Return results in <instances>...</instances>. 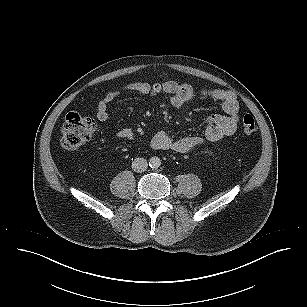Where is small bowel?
Wrapping results in <instances>:
<instances>
[{
    "mask_svg": "<svg viewBox=\"0 0 307 307\" xmlns=\"http://www.w3.org/2000/svg\"><path fill=\"white\" fill-rule=\"evenodd\" d=\"M125 93L156 97L164 95L174 108H182L195 97L217 101L224 114H213L207 118L204 137L185 136L173 138L164 131L157 132L151 140V146L157 150H170L187 153L203 144L205 141L216 142L234 134L239 122L240 106L234 92L225 89H195L188 83L168 80L162 83L130 82L119 89L107 92L98 103L96 117L103 122L108 119L109 105ZM122 139H131L133 131L129 128L118 133Z\"/></svg>",
    "mask_w": 307,
    "mask_h": 307,
    "instance_id": "c3829d8e",
    "label": "small bowel"
}]
</instances>
